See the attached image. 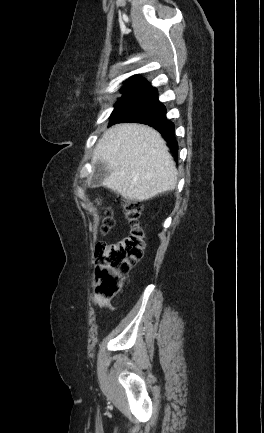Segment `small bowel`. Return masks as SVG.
Listing matches in <instances>:
<instances>
[{
	"label": "small bowel",
	"instance_id": "c3829d8e",
	"mask_svg": "<svg viewBox=\"0 0 264 433\" xmlns=\"http://www.w3.org/2000/svg\"><path fill=\"white\" fill-rule=\"evenodd\" d=\"M93 303L96 306L113 310L111 300L103 297L98 291L93 294Z\"/></svg>",
	"mask_w": 264,
	"mask_h": 433
}]
</instances>
